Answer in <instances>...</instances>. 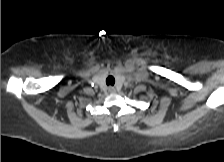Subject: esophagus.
Masks as SVG:
<instances>
[{"label": "esophagus", "instance_id": "1", "mask_svg": "<svg viewBox=\"0 0 224 162\" xmlns=\"http://www.w3.org/2000/svg\"><path fill=\"white\" fill-rule=\"evenodd\" d=\"M108 91H109V93H115L116 89L114 87H112V86H109L108 87Z\"/></svg>", "mask_w": 224, "mask_h": 162}]
</instances>
